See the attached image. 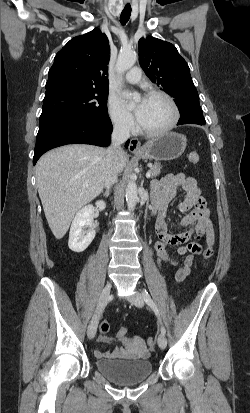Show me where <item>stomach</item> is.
Masks as SVG:
<instances>
[{
  "mask_svg": "<svg viewBox=\"0 0 250 413\" xmlns=\"http://www.w3.org/2000/svg\"><path fill=\"white\" fill-rule=\"evenodd\" d=\"M186 143L183 134L168 132L148 141L144 149L136 154L149 160H173L183 154Z\"/></svg>",
  "mask_w": 250,
  "mask_h": 413,
  "instance_id": "stomach-1",
  "label": "stomach"
}]
</instances>
